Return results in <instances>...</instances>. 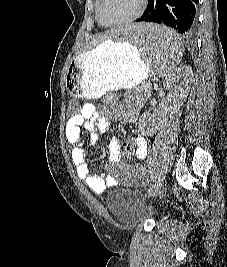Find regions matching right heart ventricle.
Returning <instances> with one entry per match:
<instances>
[{
	"label": "right heart ventricle",
	"mask_w": 227,
	"mask_h": 267,
	"mask_svg": "<svg viewBox=\"0 0 227 267\" xmlns=\"http://www.w3.org/2000/svg\"><path fill=\"white\" fill-rule=\"evenodd\" d=\"M95 14H96V18L99 21L98 17H97V2H96V6H95ZM100 22V21H99ZM101 23V22H100Z\"/></svg>",
	"instance_id": "e07e8e85"
}]
</instances>
